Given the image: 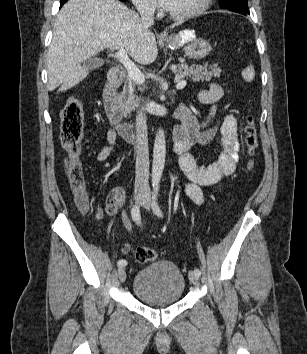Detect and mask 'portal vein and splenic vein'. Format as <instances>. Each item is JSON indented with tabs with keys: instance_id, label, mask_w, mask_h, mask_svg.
<instances>
[{
	"instance_id": "obj_1",
	"label": "portal vein and splenic vein",
	"mask_w": 307,
	"mask_h": 354,
	"mask_svg": "<svg viewBox=\"0 0 307 354\" xmlns=\"http://www.w3.org/2000/svg\"><path fill=\"white\" fill-rule=\"evenodd\" d=\"M115 58L125 67L128 72L129 78L137 84H143L145 81L144 75L137 68L133 61H131L126 53V51L122 48L118 52L114 54ZM177 82L176 88L183 89L187 82L185 80H180L179 78H175Z\"/></svg>"
}]
</instances>
